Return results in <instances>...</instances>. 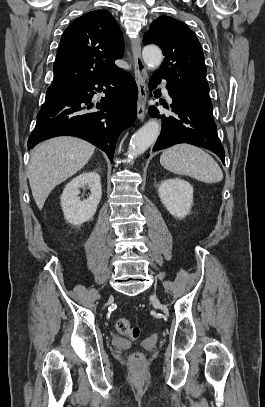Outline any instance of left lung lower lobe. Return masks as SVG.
<instances>
[{
    "label": "left lung lower lobe",
    "mask_w": 265,
    "mask_h": 407,
    "mask_svg": "<svg viewBox=\"0 0 265 407\" xmlns=\"http://www.w3.org/2000/svg\"><path fill=\"white\" fill-rule=\"evenodd\" d=\"M161 78L155 72L150 78L149 88L155 89ZM167 89L172 98L171 111L175 114L165 116L161 115L157 108L153 106L149 108L151 117L162 119V131L153 150H161L179 143H188L213 151L225 163V152L217 135L213 114L176 95L168 86ZM154 96L157 98L159 94L155 91ZM164 106L168 108V106Z\"/></svg>",
    "instance_id": "obj_1"
}]
</instances>
